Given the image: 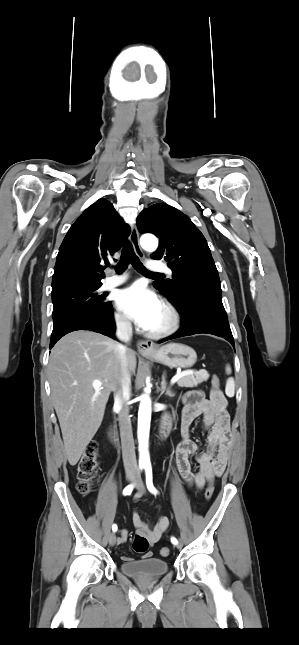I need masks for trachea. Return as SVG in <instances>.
Returning a JSON list of instances; mask_svg holds the SVG:
<instances>
[{
	"mask_svg": "<svg viewBox=\"0 0 299 645\" xmlns=\"http://www.w3.org/2000/svg\"><path fill=\"white\" fill-rule=\"evenodd\" d=\"M131 264L133 268L144 275H160V273L149 272L145 269L138 256L135 254L132 245L129 242H125L123 245L120 261L117 264L115 270L119 274L125 271L128 265Z\"/></svg>",
	"mask_w": 299,
	"mask_h": 645,
	"instance_id": "1",
	"label": "trachea"
}]
</instances>
